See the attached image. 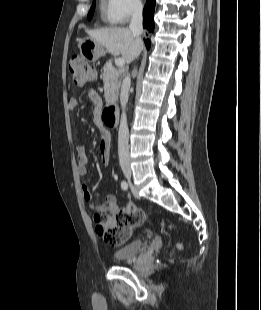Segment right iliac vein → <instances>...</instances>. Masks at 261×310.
Segmentation results:
<instances>
[{
	"instance_id": "1",
	"label": "right iliac vein",
	"mask_w": 261,
	"mask_h": 310,
	"mask_svg": "<svg viewBox=\"0 0 261 310\" xmlns=\"http://www.w3.org/2000/svg\"><path fill=\"white\" fill-rule=\"evenodd\" d=\"M123 173H124V175H125V177H126L127 179H130V178H131L132 173H131V170H130L129 168H124V169H123Z\"/></svg>"
}]
</instances>
